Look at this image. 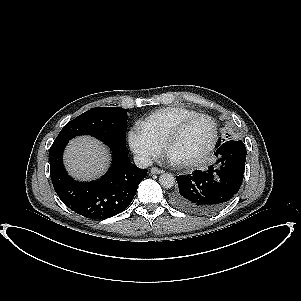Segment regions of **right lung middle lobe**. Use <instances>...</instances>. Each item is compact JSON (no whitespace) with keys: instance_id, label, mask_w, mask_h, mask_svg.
<instances>
[{"instance_id":"1","label":"right lung middle lobe","mask_w":301,"mask_h":301,"mask_svg":"<svg viewBox=\"0 0 301 301\" xmlns=\"http://www.w3.org/2000/svg\"><path fill=\"white\" fill-rule=\"evenodd\" d=\"M127 110L119 107L92 108L67 123L55 140L91 135L125 145Z\"/></svg>"}]
</instances>
